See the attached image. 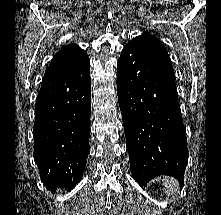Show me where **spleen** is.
Returning <instances> with one entry per match:
<instances>
[{
  "label": "spleen",
  "instance_id": "obj_1",
  "mask_svg": "<svg viewBox=\"0 0 221 215\" xmlns=\"http://www.w3.org/2000/svg\"><path fill=\"white\" fill-rule=\"evenodd\" d=\"M164 190L167 194H172L175 192L177 186V181L174 178H163Z\"/></svg>",
  "mask_w": 221,
  "mask_h": 215
}]
</instances>
